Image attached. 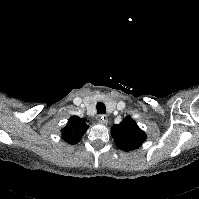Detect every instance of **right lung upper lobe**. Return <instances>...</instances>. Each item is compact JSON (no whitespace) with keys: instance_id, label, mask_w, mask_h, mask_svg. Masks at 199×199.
<instances>
[{"instance_id":"obj_1","label":"right lung upper lobe","mask_w":199,"mask_h":199,"mask_svg":"<svg viewBox=\"0 0 199 199\" xmlns=\"http://www.w3.org/2000/svg\"><path fill=\"white\" fill-rule=\"evenodd\" d=\"M89 125L85 118L73 116L68 120L67 126L62 129V137L69 144H77Z\"/></svg>"}]
</instances>
